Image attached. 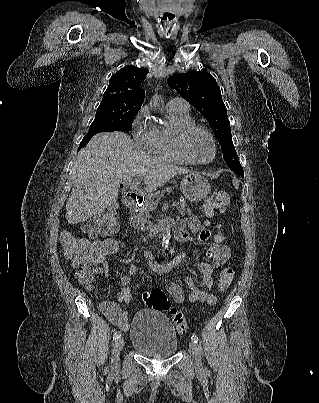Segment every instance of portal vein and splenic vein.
I'll list each match as a JSON object with an SVG mask.
<instances>
[{
    "mask_svg": "<svg viewBox=\"0 0 319 403\" xmlns=\"http://www.w3.org/2000/svg\"><path fill=\"white\" fill-rule=\"evenodd\" d=\"M139 182H140V178L135 179L133 182H129V188L137 192ZM149 204L156 208V204L150 199H149ZM178 205H179V202L175 201L172 203L173 207H177Z\"/></svg>",
    "mask_w": 319,
    "mask_h": 403,
    "instance_id": "obj_1",
    "label": "portal vein and splenic vein"
}]
</instances>
